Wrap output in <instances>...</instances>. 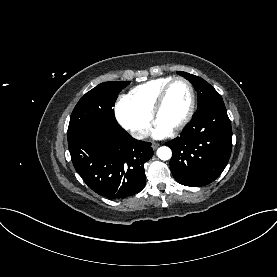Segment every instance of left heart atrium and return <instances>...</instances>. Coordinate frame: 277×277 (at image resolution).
Listing matches in <instances>:
<instances>
[{
	"label": "left heart atrium",
	"instance_id": "left-heart-atrium-1",
	"mask_svg": "<svg viewBox=\"0 0 277 277\" xmlns=\"http://www.w3.org/2000/svg\"><path fill=\"white\" fill-rule=\"evenodd\" d=\"M170 131H171V128H169L167 125L161 122H157L152 132V135L155 138H163L167 136L170 133Z\"/></svg>",
	"mask_w": 277,
	"mask_h": 277
}]
</instances>
